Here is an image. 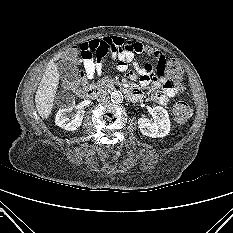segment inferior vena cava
Wrapping results in <instances>:
<instances>
[{"mask_svg":"<svg viewBox=\"0 0 233 233\" xmlns=\"http://www.w3.org/2000/svg\"><path fill=\"white\" fill-rule=\"evenodd\" d=\"M97 100L99 102H106V101L109 100V96L106 93H101V94L98 95Z\"/></svg>","mask_w":233,"mask_h":233,"instance_id":"602c4592","label":"inferior vena cava"}]
</instances>
